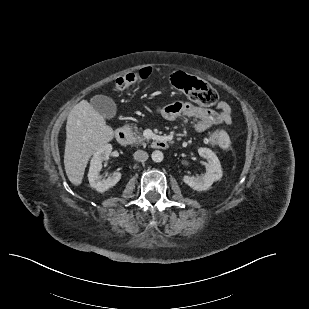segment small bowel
Segmentation results:
<instances>
[{"mask_svg":"<svg viewBox=\"0 0 309 309\" xmlns=\"http://www.w3.org/2000/svg\"><path fill=\"white\" fill-rule=\"evenodd\" d=\"M155 112L167 120H175L180 116L191 118L198 132H204L214 125L232 122V109L226 102H220L216 109H207L191 102L178 101L157 108Z\"/></svg>","mask_w":309,"mask_h":309,"instance_id":"obj_1","label":"small bowel"}]
</instances>
